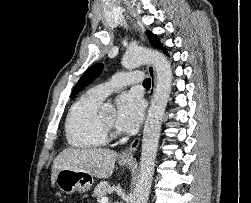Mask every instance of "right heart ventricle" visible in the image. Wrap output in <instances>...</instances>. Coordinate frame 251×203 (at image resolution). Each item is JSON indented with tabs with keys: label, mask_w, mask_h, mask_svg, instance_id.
<instances>
[{
	"label": "right heart ventricle",
	"mask_w": 251,
	"mask_h": 203,
	"mask_svg": "<svg viewBox=\"0 0 251 203\" xmlns=\"http://www.w3.org/2000/svg\"><path fill=\"white\" fill-rule=\"evenodd\" d=\"M102 101L87 92L70 107L65 121V131L71 146L96 149L107 144L108 137L100 124L98 114Z\"/></svg>",
	"instance_id": "e07e8e85"
}]
</instances>
